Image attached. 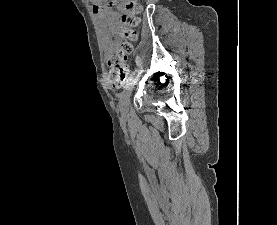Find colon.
Listing matches in <instances>:
<instances>
[{
	"label": "colon",
	"instance_id": "5ec220e1",
	"mask_svg": "<svg viewBox=\"0 0 277 225\" xmlns=\"http://www.w3.org/2000/svg\"><path fill=\"white\" fill-rule=\"evenodd\" d=\"M140 12L141 5L137 0L126 1L121 16L122 23L126 26L123 32L124 40L109 58L110 79L115 84L122 83L129 74L128 58L133 52V43L137 38V15Z\"/></svg>",
	"mask_w": 277,
	"mask_h": 225
}]
</instances>
